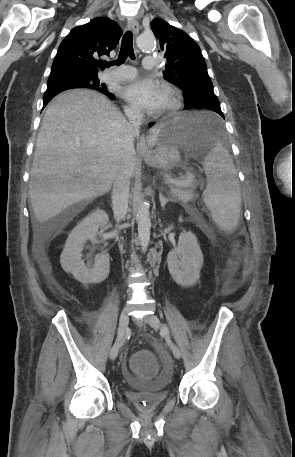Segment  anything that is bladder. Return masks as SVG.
Segmentation results:
<instances>
[{
  "label": "bladder",
  "mask_w": 295,
  "mask_h": 457,
  "mask_svg": "<svg viewBox=\"0 0 295 457\" xmlns=\"http://www.w3.org/2000/svg\"><path fill=\"white\" fill-rule=\"evenodd\" d=\"M153 350L161 361L162 372L159 373V378H144L136 381L135 376L131 375L130 360L129 364L120 366V378H124L126 384H134L135 387L125 392L126 398L133 404L134 411H156L157 407L163 405L170 396L166 385L174 372L171 353L165 352L164 345H155Z\"/></svg>",
  "instance_id": "1"
}]
</instances>
